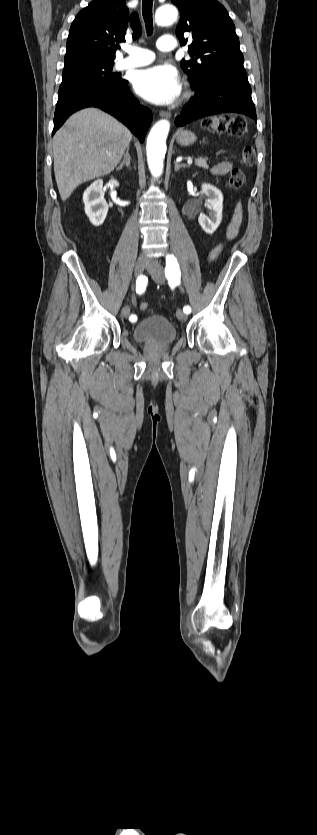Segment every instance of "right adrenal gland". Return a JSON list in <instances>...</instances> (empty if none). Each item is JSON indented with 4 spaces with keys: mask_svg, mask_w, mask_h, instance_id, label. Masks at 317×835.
Returning a JSON list of instances; mask_svg holds the SVG:
<instances>
[{
    "mask_svg": "<svg viewBox=\"0 0 317 835\" xmlns=\"http://www.w3.org/2000/svg\"><path fill=\"white\" fill-rule=\"evenodd\" d=\"M128 152H129V147L126 149V153L124 154L123 161L120 163L119 167H117V170H122L123 166H126V167L130 166V159L131 158H130V155H129Z\"/></svg>",
    "mask_w": 317,
    "mask_h": 835,
    "instance_id": "right-adrenal-gland-1",
    "label": "right adrenal gland"
}]
</instances>
